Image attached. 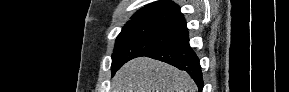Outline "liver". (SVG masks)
<instances>
[{"label": "liver", "mask_w": 289, "mask_h": 92, "mask_svg": "<svg viewBox=\"0 0 289 92\" xmlns=\"http://www.w3.org/2000/svg\"><path fill=\"white\" fill-rule=\"evenodd\" d=\"M113 92H196L184 71L166 63L140 57L127 62L112 80Z\"/></svg>", "instance_id": "1"}]
</instances>
